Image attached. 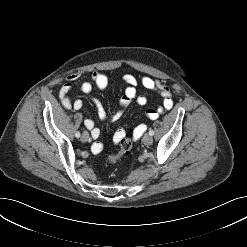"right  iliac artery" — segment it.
Masks as SVG:
<instances>
[{"label": "right iliac artery", "instance_id": "obj_1", "mask_svg": "<svg viewBox=\"0 0 247 247\" xmlns=\"http://www.w3.org/2000/svg\"><path fill=\"white\" fill-rule=\"evenodd\" d=\"M75 136H76V138H79L80 137V132H76Z\"/></svg>", "mask_w": 247, "mask_h": 247}]
</instances>
